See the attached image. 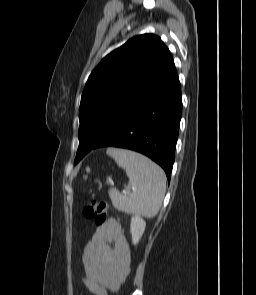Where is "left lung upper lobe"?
I'll return each instance as SVG.
<instances>
[{
  "instance_id": "5c2ea615",
  "label": "left lung upper lobe",
  "mask_w": 256,
  "mask_h": 295,
  "mask_svg": "<svg viewBox=\"0 0 256 295\" xmlns=\"http://www.w3.org/2000/svg\"><path fill=\"white\" fill-rule=\"evenodd\" d=\"M175 74L169 49L153 34L135 36L108 54L93 70L82 93L74 163Z\"/></svg>"
}]
</instances>
